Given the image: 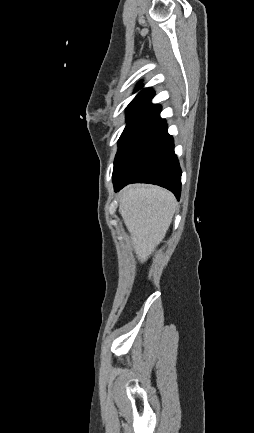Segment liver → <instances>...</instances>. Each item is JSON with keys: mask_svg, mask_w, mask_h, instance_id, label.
<instances>
[{"mask_svg": "<svg viewBox=\"0 0 254 433\" xmlns=\"http://www.w3.org/2000/svg\"><path fill=\"white\" fill-rule=\"evenodd\" d=\"M176 200L156 186H128L121 192L119 212L131 234L138 259L143 263L165 237L175 212Z\"/></svg>", "mask_w": 254, "mask_h": 433, "instance_id": "6515ba94", "label": "liver"}]
</instances>
